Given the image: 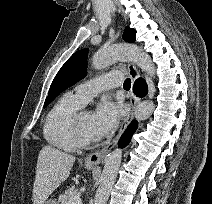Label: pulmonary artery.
Masks as SVG:
<instances>
[{
  "instance_id": "1",
  "label": "pulmonary artery",
  "mask_w": 212,
  "mask_h": 204,
  "mask_svg": "<svg viewBox=\"0 0 212 204\" xmlns=\"http://www.w3.org/2000/svg\"><path fill=\"white\" fill-rule=\"evenodd\" d=\"M121 83V74L109 73L76 86L71 94L82 105H86L94 96L100 92L117 87Z\"/></svg>"
}]
</instances>
